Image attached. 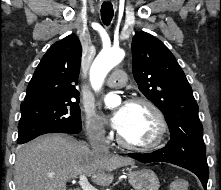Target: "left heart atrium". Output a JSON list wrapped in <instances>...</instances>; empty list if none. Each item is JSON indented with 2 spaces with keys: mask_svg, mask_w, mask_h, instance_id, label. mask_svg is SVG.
Returning <instances> with one entry per match:
<instances>
[{
  "mask_svg": "<svg viewBox=\"0 0 221 190\" xmlns=\"http://www.w3.org/2000/svg\"><path fill=\"white\" fill-rule=\"evenodd\" d=\"M127 104L122 105L108 117L109 124L116 130H121L126 122Z\"/></svg>",
  "mask_w": 221,
  "mask_h": 190,
  "instance_id": "39dd6f15",
  "label": "left heart atrium"
}]
</instances>
